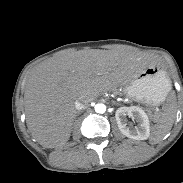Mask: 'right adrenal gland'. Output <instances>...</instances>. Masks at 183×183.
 Instances as JSON below:
<instances>
[{
    "instance_id": "1",
    "label": "right adrenal gland",
    "mask_w": 183,
    "mask_h": 183,
    "mask_svg": "<svg viewBox=\"0 0 183 183\" xmlns=\"http://www.w3.org/2000/svg\"><path fill=\"white\" fill-rule=\"evenodd\" d=\"M81 114V112L80 111H77V114H76V116H79Z\"/></svg>"
}]
</instances>
